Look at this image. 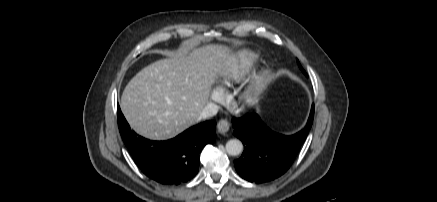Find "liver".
I'll return each instance as SVG.
<instances>
[{
  "label": "liver",
  "mask_w": 437,
  "mask_h": 202,
  "mask_svg": "<svg viewBox=\"0 0 437 202\" xmlns=\"http://www.w3.org/2000/svg\"><path fill=\"white\" fill-rule=\"evenodd\" d=\"M237 65L231 48L209 44L175 52L139 71L126 85L120 108L138 134L175 137L199 121L212 86Z\"/></svg>",
  "instance_id": "1"
}]
</instances>
